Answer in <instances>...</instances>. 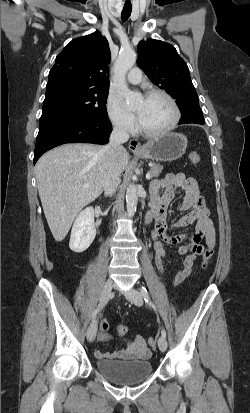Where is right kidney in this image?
Wrapping results in <instances>:
<instances>
[{"instance_id":"right-kidney-1","label":"right kidney","mask_w":250,"mask_h":413,"mask_svg":"<svg viewBox=\"0 0 250 413\" xmlns=\"http://www.w3.org/2000/svg\"><path fill=\"white\" fill-rule=\"evenodd\" d=\"M95 236L94 209L87 207L79 213L74 221L69 247L72 251L81 253L91 245Z\"/></svg>"}]
</instances>
